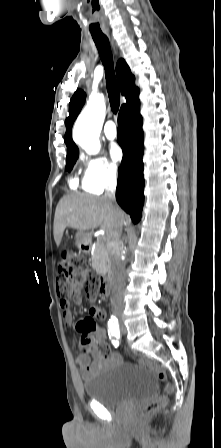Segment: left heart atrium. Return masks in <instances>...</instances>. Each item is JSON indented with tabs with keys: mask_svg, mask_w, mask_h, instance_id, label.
Returning a JSON list of instances; mask_svg holds the SVG:
<instances>
[{
	"mask_svg": "<svg viewBox=\"0 0 221 448\" xmlns=\"http://www.w3.org/2000/svg\"><path fill=\"white\" fill-rule=\"evenodd\" d=\"M110 156L113 159V161L115 162L120 161L123 156V151L118 145H113L110 148Z\"/></svg>",
	"mask_w": 221,
	"mask_h": 448,
	"instance_id": "left-heart-atrium-1",
	"label": "left heart atrium"
}]
</instances>
